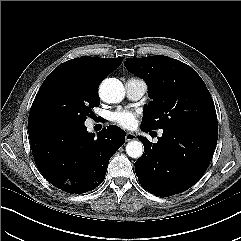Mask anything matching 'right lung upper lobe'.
<instances>
[{"mask_svg":"<svg viewBox=\"0 0 241 241\" xmlns=\"http://www.w3.org/2000/svg\"><path fill=\"white\" fill-rule=\"evenodd\" d=\"M123 58L80 57L68 60L56 69L70 71L88 90L97 92L100 83L122 63Z\"/></svg>","mask_w":241,"mask_h":241,"instance_id":"right-lung-upper-lobe-1","label":"right lung upper lobe"}]
</instances>
